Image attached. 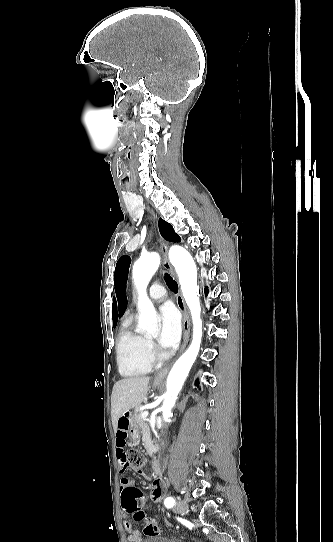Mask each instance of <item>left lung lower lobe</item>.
I'll return each mask as SVG.
<instances>
[{
	"instance_id": "obj_1",
	"label": "left lung lower lobe",
	"mask_w": 333,
	"mask_h": 542,
	"mask_svg": "<svg viewBox=\"0 0 333 542\" xmlns=\"http://www.w3.org/2000/svg\"><path fill=\"white\" fill-rule=\"evenodd\" d=\"M207 292H208V290H207V289H205V293H206V294H207ZM196 385H198V381H196Z\"/></svg>"
}]
</instances>
